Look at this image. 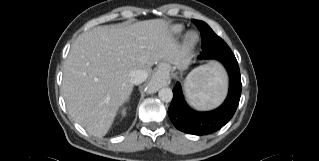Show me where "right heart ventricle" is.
Listing matches in <instances>:
<instances>
[{"mask_svg": "<svg viewBox=\"0 0 319 161\" xmlns=\"http://www.w3.org/2000/svg\"><path fill=\"white\" fill-rule=\"evenodd\" d=\"M182 27L180 25H176L172 28V30L175 32V33H178V32H181L182 31Z\"/></svg>", "mask_w": 319, "mask_h": 161, "instance_id": "right-heart-ventricle-1", "label": "right heart ventricle"}]
</instances>
